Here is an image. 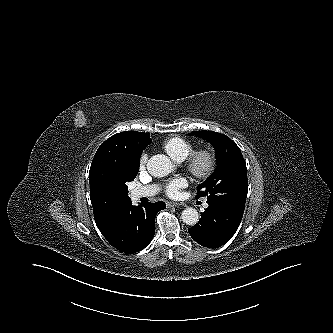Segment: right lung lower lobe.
<instances>
[{
	"label": "right lung lower lobe",
	"instance_id": "obj_1",
	"mask_svg": "<svg viewBox=\"0 0 333 333\" xmlns=\"http://www.w3.org/2000/svg\"><path fill=\"white\" fill-rule=\"evenodd\" d=\"M164 202L133 206L131 201L122 205L102 232L117 250L132 254L144 249L155 233V216L165 209Z\"/></svg>",
	"mask_w": 333,
	"mask_h": 333
}]
</instances>
